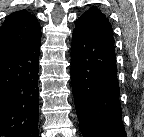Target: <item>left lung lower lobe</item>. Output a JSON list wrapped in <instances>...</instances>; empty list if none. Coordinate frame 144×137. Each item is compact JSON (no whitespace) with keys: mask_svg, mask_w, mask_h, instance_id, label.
I'll list each match as a JSON object with an SVG mask.
<instances>
[{"mask_svg":"<svg viewBox=\"0 0 144 137\" xmlns=\"http://www.w3.org/2000/svg\"><path fill=\"white\" fill-rule=\"evenodd\" d=\"M71 81L84 137H126L113 37L76 22L72 34Z\"/></svg>","mask_w":144,"mask_h":137,"instance_id":"0a47b994","label":"left lung lower lobe"}]
</instances>
